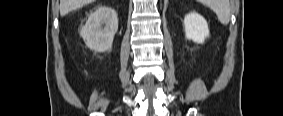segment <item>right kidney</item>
Instances as JSON below:
<instances>
[{"instance_id":"1","label":"right kidney","mask_w":283,"mask_h":116,"mask_svg":"<svg viewBox=\"0 0 283 116\" xmlns=\"http://www.w3.org/2000/svg\"><path fill=\"white\" fill-rule=\"evenodd\" d=\"M118 30V17L114 9L101 6L93 12L82 27L80 36L86 46L95 52L111 49Z\"/></svg>"}]
</instances>
